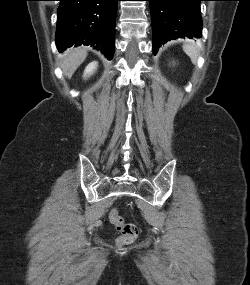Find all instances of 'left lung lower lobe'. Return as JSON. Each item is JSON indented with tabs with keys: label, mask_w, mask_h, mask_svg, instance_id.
I'll return each mask as SVG.
<instances>
[{
	"label": "left lung lower lobe",
	"mask_w": 250,
	"mask_h": 285,
	"mask_svg": "<svg viewBox=\"0 0 250 285\" xmlns=\"http://www.w3.org/2000/svg\"><path fill=\"white\" fill-rule=\"evenodd\" d=\"M147 1L151 8L154 55L161 45L170 40L201 36L200 1L204 0Z\"/></svg>",
	"instance_id": "0a47b994"
}]
</instances>
